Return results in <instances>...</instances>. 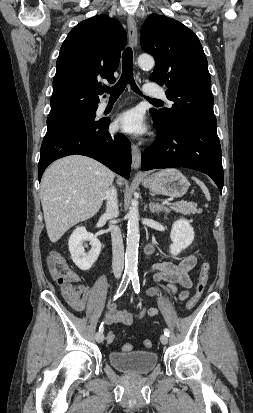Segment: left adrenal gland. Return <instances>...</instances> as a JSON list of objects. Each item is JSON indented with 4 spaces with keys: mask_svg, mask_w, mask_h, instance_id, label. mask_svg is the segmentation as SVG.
<instances>
[{
    "mask_svg": "<svg viewBox=\"0 0 253 413\" xmlns=\"http://www.w3.org/2000/svg\"><path fill=\"white\" fill-rule=\"evenodd\" d=\"M149 209L151 213H159L161 211L164 212H169V209L166 206H163L159 203H154L153 201H150L149 203Z\"/></svg>",
    "mask_w": 253,
    "mask_h": 413,
    "instance_id": "left-adrenal-gland-1",
    "label": "left adrenal gland"
}]
</instances>
